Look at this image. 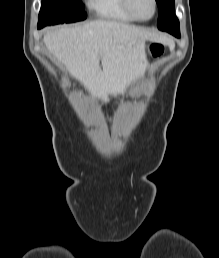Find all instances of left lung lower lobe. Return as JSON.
I'll return each mask as SVG.
<instances>
[{
	"label": "left lung lower lobe",
	"instance_id": "1",
	"mask_svg": "<svg viewBox=\"0 0 219 258\" xmlns=\"http://www.w3.org/2000/svg\"><path fill=\"white\" fill-rule=\"evenodd\" d=\"M166 32L174 35L175 37L179 38L180 37V29H175V30H167Z\"/></svg>",
	"mask_w": 219,
	"mask_h": 258
}]
</instances>
